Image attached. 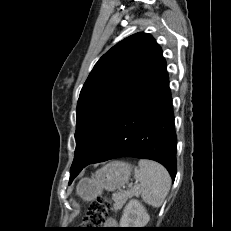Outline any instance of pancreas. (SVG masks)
Masks as SVG:
<instances>
[{
  "mask_svg": "<svg viewBox=\"0 0 231 231\" xmlns=\"http://www.w3.org/2000/svg\"><path fill=\"white\" fill-rule=\"evenodd\" d=\"M136 192L134 190L127 191L125 193H117L114 194L112 199L114 201V209L118 210L121 209L122 206L125 204V202L128 200V198H131L134 196Z\"/></svg>",
  "mask_w": 231,
  "mask_h": 231,
  "instance_id": "obj_1",
  "label": "pancreas"
}]
</instances>
